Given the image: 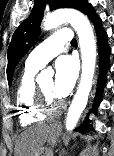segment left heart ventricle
<instances>
[{"label": "left heart ventricle", "mask_w": 114, "mask_h": 156, "mask_svg": "<svg viewBox=\"0 0 114 156\" xmlns=\"http://www.w3.org/2000/svg\"><path fill=\"white\" fill-rule=\"evenodd\" d=\"M53 80H47L43 83L40 84L41 88L50 96H52L53 98H55L54 94H53Z\"/></svg>", "instance_id": "b2bd125f"}]
</instances>
